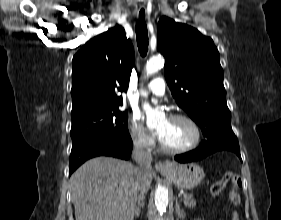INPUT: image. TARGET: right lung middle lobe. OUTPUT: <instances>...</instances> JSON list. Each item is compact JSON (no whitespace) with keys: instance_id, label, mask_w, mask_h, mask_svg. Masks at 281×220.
<instances>
[{"instance_id":"1","label":"right lung middle lobe","mask_w":281,"mask_h":220,"mask_svg":"<svg viewBox=\"0 0 281 220\" xmlns=\"http://www.w3.org/2000/svg\"><path fill=\"white\" fill-rule=\"evenodd\" d=\"M128 112L118 108L72 118V145L89 140L131 138L128 131Z\"/></svg>"}]
</instances>
